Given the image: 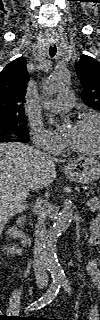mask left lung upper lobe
Returning a JSON list of instances; mask_svg holds the SVG:
<instances>
[{"label": "left lung upper lobe", "mask_w": 100, "mask_h": 320, "mask_svg": "<svg viewBox=\"0 0 100 320\" xmlns=\"http://www.w3.org/2000/svg\"><path fill=\"white\" fill-rule=\"evenodd\" d=\"M75 69L83 86V102L100 111V62L90 56L81 55Z\"/></svg>", "instance_id": "obj_1"}]
</instances>
